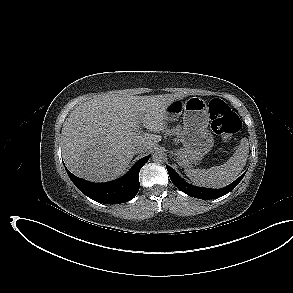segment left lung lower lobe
Returning a JSON list of instances; mask_svg holds the SVG:
<instances>
[{
	"instance_id": "0a47b994",
	"label": "left lung lower lobe",
	"mask_w": 293,
	"mask_h": 293,
	"mask_svg": "<svg viewBox=\"0 0 293 293\" xmlns=\"http://www.w3.org/2000/svg\"><path fill=\"white\" fill-rule=\"evenodd\" d=\"M166 167H167L171 181L178 189L188 194L189 196L196 197L199 199H215L229 193L239 184V182L242 180V178L244 177L246 173V172L243 173L237 180H235L233 183L226 186L225 188L209 189V188L196 187V186L188 184L171 167L169 166H166Z\"/></svg>"
}]
</instances>
